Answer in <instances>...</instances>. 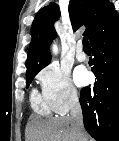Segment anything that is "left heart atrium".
<instances>
[{
    "mask_svg": "<svg viewBox=\"0 0 119 141\" xmlns=\"http://www.w3.org/2000/svg\"><path fill=\"white\" fill-rule=\"evenodd\" d=\"M74 77L78 85H85L89 81V73L84 67H78L74 72Z\"/></svg>",
    "mask_w": 119,
    "mask_h": 141,
    "instance_id": "1",
    "label": "left heart atrium"
}]
</instances>
